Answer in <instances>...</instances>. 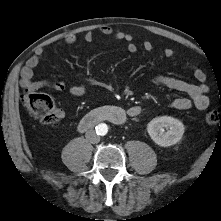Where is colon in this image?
Instances as JSON below:
<instances>
[{"instance_id":"colon-1","label":"colon","mask_w":221,"mask_h":221,"mask_svg":"<svg viewBox=\"0 0 221 221\" xmlns=\"http://www.w3.org/2000/svg\"><path fill=\"white\" fill-rule=\"evenodd\" d=\"M22 105L44 125H53L58 121L53 100L44 94L27 93L22 96ZM205 121L209 125L221 123V115L210 110L205 114Z\"/></svg>"}]
</instances>
